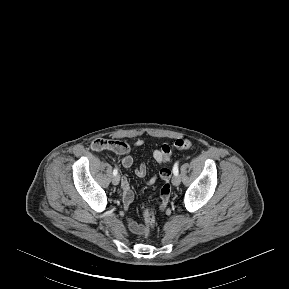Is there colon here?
<instances>
[{
	"mask_svg": "<svg viewBox=\"0 0 289 289\" xmlns=\"http://www.w3.org/2000/svg\"><path fill=\"white\" fill-rule=\"evenodd\" d=\"M191 146H192V142L187 138H179V139L175 140L172 145L165 144V145L161 146L160 153H161V158H162L163 163L165 164L170 160L173 149L186 150V149H189ZM162 204L163 203H161V206H162ZM143 217H144V223H145L146 231H147V233H149L155 227V219H154L152 210L148 207L145 208L144 213H143Z\"/></svg>",
	"mask_w": 289,
	"mask_h": 289,
	"instance_id": "obj_1",
	"label": "colon"
}]
</instances>
